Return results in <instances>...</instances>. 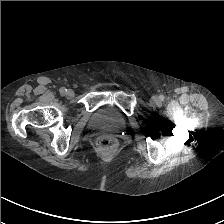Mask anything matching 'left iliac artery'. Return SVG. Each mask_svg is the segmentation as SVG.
Returning <instances> with one entry per match:
<instances>
[{
    "instance_id": "left-iliac-artery-1",
    "label": "left iliac artery",
    "mask_w": 224,
    "mask_h": 224,
    "mask_svg": "<svg viewBox=\"0 0 224 224\" xmlns=\"http://www.w3.org/2000/svg\"><path fill=\"white\" fill-rule=\"evenodd\" d=\"M159 100H160V101H164V96H163V95H160V96H159Z\"/></svg>"
}]
</instances>
